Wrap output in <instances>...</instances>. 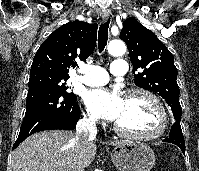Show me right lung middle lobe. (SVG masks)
<instances>
[{
    "label": "right lung middle lobe",
    "mask_w": 199,
    "mask_h": 171,
    "mask_svg": "<svg viewBox=\"0 0 199 171\" xmlns=\"http://www.w3.org/2000/svg\"><path fill=\"white\" fill-rule=\"evenodd\" d=\"M68 77H59L54 75H48V74H40V75H34L30 76L29 79V87L35 86V85H50L59 91H61L65 96L71 97V98H77V96L74 93L67 92L68 87L66 86V81Z\"/></svg>",
    "instance_id": "obj_1"
}]
</instances>
